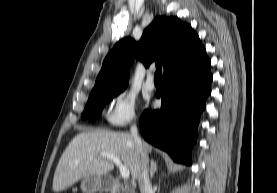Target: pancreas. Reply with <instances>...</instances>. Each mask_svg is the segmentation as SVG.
<instances>
[{
    "label": "pancreas",
    "mask_w": 277,
    "mask_h": 193,
    "mask_svg": "<svg viewBox=\"0 0 277 193\" xmlns=\"http://www.w3.org/2000/svg\"><path fill=\"white\" fill-rule=\"evenodd\" d=\"M118 188H120L122 193H135V190L133 188L128 187V186L124 187L123 185L118 184Z\"/></svg>",
    "instance_id": "pancreas-1"
}]
</instances>
